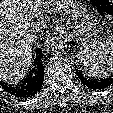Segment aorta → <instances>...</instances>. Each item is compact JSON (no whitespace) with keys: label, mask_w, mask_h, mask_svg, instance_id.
Here are the masks:
<instances>
[{"label":"aorta","mask_w":113,"mask_h":113,"mask_svg":"<svg viewBox=\"0 0 113 113\" xmlns=\"http://www.w3.org/2000/svg\"><path fill=\"white\" fill-rule=\"evenodd\" d=\"M63 47L64 44L60 38L50 37L45 42V49L48 53H59Z\"/></svg>","instance_id":"aorta-1"}]
</instances>
